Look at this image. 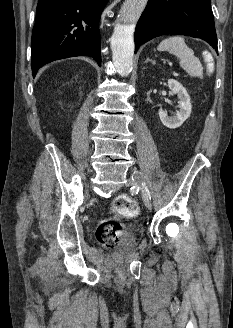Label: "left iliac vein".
Listing matches in <instances>:
<instances>
[{"instance_id": "obj_1", "label": "left iliac vein", "mask_w": 233, "mask_h": 328, "mask_svg": "<svg viewBox=\"0 0 233 328\" xmlns=\"http://www.w3.org/2000/svg\"><path fill=\"white\" fill-rule=\"evenodd\" d=\"M143 181V176L140 172L135 171L131 178L128 179L127 184L133 187H139L141 182ZM143 200H144V204L145 206L151 210L152 209V203L149 200V198L143 193Z\"/></svg>"}]
</instances>
